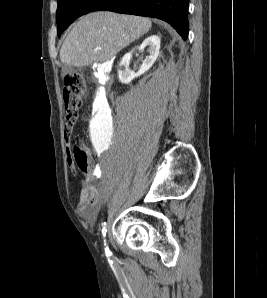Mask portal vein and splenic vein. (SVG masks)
I'll return each mask as SVG.
<instances>
[{"label": "portal vein and splenic vein", "instance_id": "18ae733b", "mask_svg": "<svg viewBox=\"0 0 267 298\" xmlns=\"http://www.w3.org/2000/svg\"><path fill=\"white\" fill-rule=\"evenodd\" d=\"M96 50H101V48L100 47H97Z\"/></svg>", "mask_w": 267, "mask_h": 298}]
</instances>
